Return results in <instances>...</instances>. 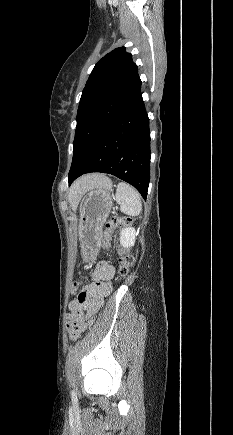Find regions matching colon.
I'll return each instance as SVG.
<instances>
[{
  "label": "colon",
  "instance_id": "5ec220e1",
  "mask_svg": "<svg viewBox=\"0 0 233 435\" xmlns=\"http://www.w3.org/2000/svg\"><path fill=\"white\" fill-rule=\"evenodd\" d=\"M131 219L125 216H113L111 217L105 225V233L103 237V245L105 249H109L111 242L115 236L118 229L129 226ZM118 275L124 277L127 275L129 267L133 263V257L129 254L127 249H121L118 258ZM94 318H90L89 323L92 324Z\"/></svg>",
  "mask_w": 233,
  "mask_h": 435
}]
</instances>
